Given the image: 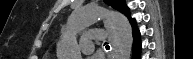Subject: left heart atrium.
<instances>
[{
	"instance_id": "left-heart-atrium-1",
	"label": "left heart atrium",
	"mask_w": 193,
	"mask_h": 59,
	"mask_svg": "<svg viewBox=\"0 0 193 59\" xmlns=\"http://www.w3.org/2000/svg\"><path fill=\"white\" fill-rule=\"evenodd\" d=\"M88 59H101V58L98 57V56L93 55V56H90Z\"/></svg>"
}]
</instances>
